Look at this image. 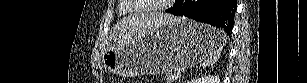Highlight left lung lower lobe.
<instances>
[{"label": "left lung lower lobe", "instance_id": "1", "mask_svg": "<svg viewBox=\"0 0 307 83\" xmlns=\"http://www.w3.org/2000/svg\"><path fill=\"white\" fill-rule=\"evenodd\" d=\"M236 9V0H176L166 12L221 28L230 36Z\"/></svg>", "mask_w": 307, "mask_h": 83}]
</instances>
